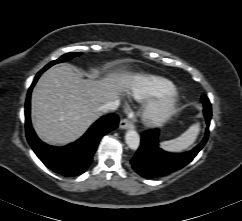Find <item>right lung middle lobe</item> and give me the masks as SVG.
<instances>
[{
  "mask_svg": "<svg viewBox=\"0 0 242 221\" xmlns=\"http://www.w3.org/2000/svg\"><path fill=\"white\" fill-rule=\"evenodd\" d=\"M82 53L78 52V53H67V54H64L63 56H61L59 59L55 60V61H52L50 62L48 65L45 66V68L43 69V71H45L46 69H48L50 66L56 64V63H60V62H65L67 60H70L71 58L73 57H76V56H79L81 55Z\"/></svg>",
  "mask_w": 242,
  "mask_h": 221,
  "instance_id": "1",
  "label": "right lung middle lobe"
}]
</instances>
